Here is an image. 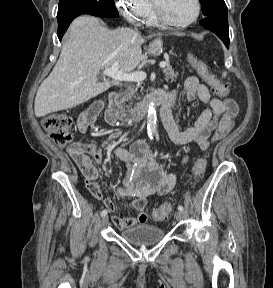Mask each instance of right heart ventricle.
<instances>
[{
    "mask_svg": "<svg viewBox=\"0 0 273 288\" xmlns=\"http://www.w3.org/2000/svg\"><path fill=\"white\" fill-rule=\"evenodd\" d=\"M144 22L147 24V25H155L157 24V20L153 14L152 11H150L147 16L144 18Z\"/></svg>",
    "mask_w": 273,
    "mask_h": 288,
    "instance_id": "1",
    "label": "right heart ventricle"
}]
</instances>
